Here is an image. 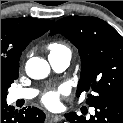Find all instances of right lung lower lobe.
Segmentation results:
<instances>
[{
    "label": "right lung lower lobe",
    "instance_id": "obj_1",
    "mask_svg": "<svg viewBox=\"0 0 123 123\" xmlns=\"http://www.w3.org/2000/svg\"><path fill=\"white\" fill-rule=\"evenodd\" d=\"M45 114L35 107L18 111L8 106L6 99H1V123H43Z\"/></svg>",
    "mask_w": 123,
    "mask_h": 123
}]
</instances>
